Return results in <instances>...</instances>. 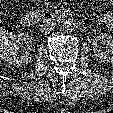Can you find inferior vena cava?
Returning <instances> with one entry per match:
<instances>
[{
	"label": "inferior vena cava",
	"instance_id": "602c4592",
	"mask_svg": "<svg viewBox=\"0 0 113 113\" xmlns=\"http://www.w3.org/2000/svg\"><path fill=\"white\" fill-rule=\"evenodd\" d=\"M55 28H56V23L51 20H48L40 25V31L45 33H49L53 31Z\"/></svg>",
	"mask_w": 113,
	"mask_h": 113
}]
</instances>
